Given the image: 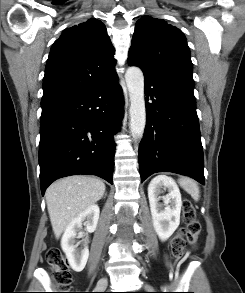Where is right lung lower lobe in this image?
<instances>
[{"mask_svg": "<svg viewBox=\"0 0 245 293\" xmlns=\"http://www.w3.org/2000/svg\"><path fill=\"white\" fill-rule=\"evenodd\" d=\"M117 75L42 111L39 164L41 191L55 180L90 174L113 183L115 143L123 116Z\"/></svg>", "mask_w": 245, "mask_h": 293, "instance_id": "obj_1", "label": "right lung lower lobe"}]
</instances>
